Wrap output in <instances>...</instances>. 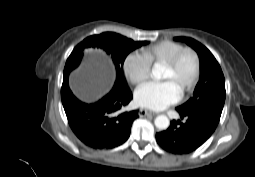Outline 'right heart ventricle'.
<instances>
[{
  "mask_svg": "<svg viewBox=\"0 0 255 177\" xmlns=\"http://www.w3.org/2000/svg\"><path fill=\"white\" fill-rule=\"evenodd\" d=\"M183 48L181 43L165 40L145 48L143 54L151 64H164Z\"/></svg>",
  "mask_w": 255,
  "mask_h": 177,
  "instance_id": "e07e8e85",
  "label": "right heart ventricle"
}]
</instances>
